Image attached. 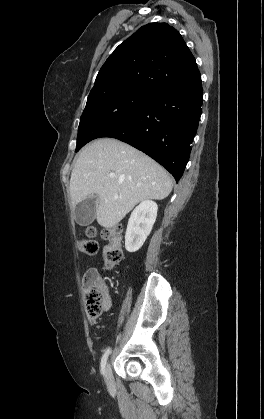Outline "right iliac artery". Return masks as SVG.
Masks as SVG:
<instances>
[{"label": "right iliac artery", "instance_id": "obj_1", "mask_svg": "<svg viewBox=\"0 0 264 419\" xmlns=\"http://www.w3.org/2000/svg\"><path fill=\"white\" fill-rule=\"evenodd\" d=\"M110 353H111V349L107 348L106 351L104 352L102 358H101V372L104 376H105L106 361H107V358H108Z\"/></svg>", "mask_w": 264, "mask_h": 419}]
</instances>
